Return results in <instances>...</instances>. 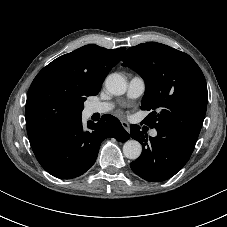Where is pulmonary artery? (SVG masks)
<instances>
[{
  "label": "pulmonary artery",
  "instance_id": "obj_1",
  "mask_svg": "<svg viewBox=\"0 0 227 227\" xmlns=\"http://www.w3.org/2000/svg\"><path fill=\"white\" fill-rule=\"evenodd\" d=\"M145 89H146L145 80L140 76H134L129 80L127 88V97L130 99H136L145 92ZM114 107L115 105L111 102H100L92 104L90 106V111L92 113L105 114L113 110ZM150 135L152 137L157 136V131L152 130L150 132Z\"/></svg>",
  "mask_w": 227,
  "mask_h": 227
}]
</instances>
